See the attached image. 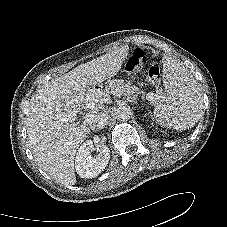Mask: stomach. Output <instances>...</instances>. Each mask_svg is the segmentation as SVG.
I'll return each instance as SVG.
<instances>
[{"instance_id":"stomach-1","label":"stomach","mask_w":227,"mask_h":227,"mask_svg":"<svg viewBox=\"0 0 227 227\" xmlns=\"http://www.w3.org/2000/svg\"><path fill=\"white\" fill-rule=\"evenodd\" d=\"M90 90L94 94L108 95V94L116 93L118 90V87L114 83H106V84L94 83L91 85Z\"/></svg>"}]
</instances>
